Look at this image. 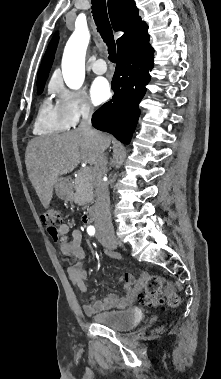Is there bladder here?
<instances>
[{"instance_id": "31cf9c89", "label": "bladder", "mask_w": 221, "mask_h": 379, "mask_svg": "<svg viewBox=\"0 0 221 379\" xmlns=\"http://www.w3.org/2000/svg\"><path fill=\"white\" fill-rule=\"evenodd\" d=\"M142 317L139 310L127 308L98 312L91 316V320L113 330L127 331L137 326Z\"/></svg>"}]
</instances>
